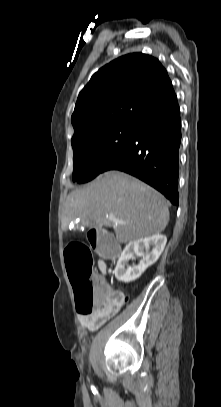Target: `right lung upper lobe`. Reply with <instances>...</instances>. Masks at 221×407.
<instances>
[{"mask_svg":"<svg viewBox=\"0 0 221 407\" xmlns=\"http://www.w3.org/2000/svg\"><path fill=\"white\" fill-rule=\"evenodd\" d=\"M173 94L156 58L142 53L119 57L99 69L80 92L71 117V143L107 127L136 124Z\"/></svg>","mask_w":221,"mask_h":407,"instance_id":"cb5924a9","label":"right lung upper lobe"}]
</instances>
